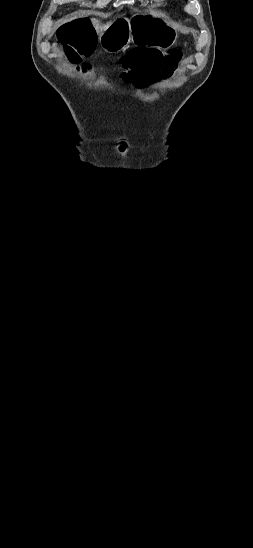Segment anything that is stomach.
Segmentation results:
<instances>
[{
    "label": "stomach",
    "mask_w": 253,
    "mask_h": 548,
    "mask_svg": "<svg viewBox=\"0 0 253 548\" xmlns=\"http://www.w3.org/2000/svg\"><path fill=\"white\" fill-rule=\"evenodd\" d=\"M177 32L159 18L135 15L132 19L118 17L99 35L102 49L108 53L125 50L130 43L168 47L175 43Z\"/></svg>",
    "instance_id": "1"
}]
</instances>
